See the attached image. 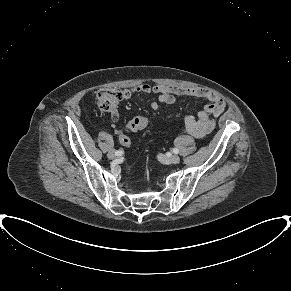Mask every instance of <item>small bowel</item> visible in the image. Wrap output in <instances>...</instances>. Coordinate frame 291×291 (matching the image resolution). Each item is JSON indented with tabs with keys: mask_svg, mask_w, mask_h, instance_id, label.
<instances>
[{
	"mask_svg": "<svg viewBox=\"0 0 291 291\" xmlns=\"http://www.w3.org/2000/svg\"><path fill=\"white\" fill-rule=\"evenodd\" d=\"M136 93L142 94H157L158 100L151 101L150 107L152 110H157L159 103L172 104L175 102L176 96H191L197 98H205L209 103L204 107L203 110L195 115H188L184 121L183 131L190 134L191 136L201 139L209 134L215 123L211 119V116H219L225 110V102L216 93L205 89V88H188L181 86H166V85H149L141 84L132 88L123 90L122 99H129ZM110 118L113 121L119 119V112L116 107L107 111Z\"/></svg>",
	"mask_w": 291,
	"mask_h": 291,
	"instance_id": "small-bowel-1",
	"label": "small bowel"
}]
</instances>
